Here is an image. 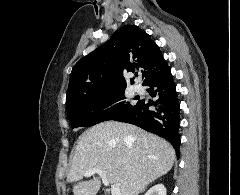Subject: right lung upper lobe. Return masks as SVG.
Returning a JSON list of instances; mask_svg holds the SVG:
<instances>
[{"mask_svg":"<svg viewBox=\"0 0 240 195\" xmlns=\"http://www.w3.org/2000/svg\"><path fill=\"white\" fill-rule=\"evenodd\" d=\"M125 70H139L143 86L169 70L157 44L136 25H125L108 42L75 64L70 75L66 105L80 98L125 90Z\"/></svg>","mask_w":240,"mask_h":195,"instance_id":"obj_1","label":"right lung upper lobe"}]
</instances>
